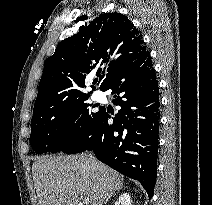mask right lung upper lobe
Masks as SVG:
<instances>
[{
    "mask_svg": "<svg viewBox=\"0 0 212 205\" xmlns=\"http://www.w3.org/2000/svg\"><path fill=\"white\" fill-rule=\"evenodd\" d=\"M142 35L121 13H103L61 41L46 61L34 109L66 105L88 97L81 92L97 67L103 91L116 73L146 52ZM92 89L94 87L92 86Z\"/></svg>",
    "mask_w": 212,
    "mask_h": 205,
    "instance_id": "obj_1",
    "label": "right lung upper lobe"
}]
</instances>
